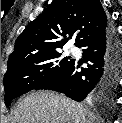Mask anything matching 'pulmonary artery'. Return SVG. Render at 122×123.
I'll return each mask as SVG.
<instances>
[{
  "label": "pulmonary artery",
  "instance_id": "e3ab8cb5",
  "mask_svg": "<svg viewBox=\"0 0 122 123\" xmlns=\"http://www.w3.org/2000/svg\"><path fill=\"white\" fill-rule=\"evenodd\" d=\"M71 51H72V52H75L76 50L73 48Z\"/></svg>",
  "mask_w": 122,
  "mask_h": 123
}]
</instances>
